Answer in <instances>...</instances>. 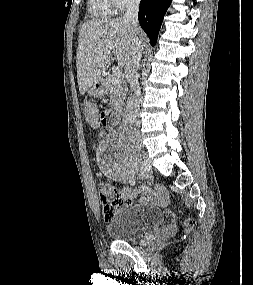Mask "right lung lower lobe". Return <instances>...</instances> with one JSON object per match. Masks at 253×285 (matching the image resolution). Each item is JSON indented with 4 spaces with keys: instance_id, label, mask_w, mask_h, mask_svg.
Returning a JSON list of instances; mask_svg holds the SVG:
<instances>
[{
    "instance_id": "obj_1",
    "label": "right lung lower lobe",
    "mask_w": 253,
    "mask_h": 285,
    "mask_svg": "<svg viewBox=\"0 0 253 285\" xmlns=\"http://www.w3.org/2000/svg\"><path fill=\"white\" fill-rule=\"evenodd\" d=\"M172 0H141L138 19L154 46L163 17Z\"/></svg>"
}]
</instances>
